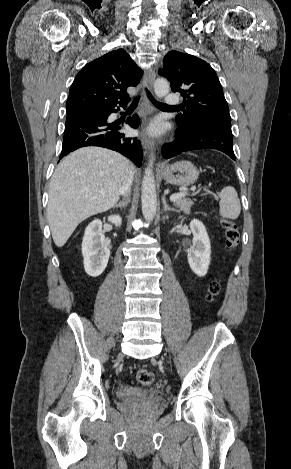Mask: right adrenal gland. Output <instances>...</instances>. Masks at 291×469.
Here are the masks:
<instances>
[{"label":"right adrenal gland","mask_w":291,"mask_h":469,"mask_svg":"<svg viewBox=\"0 0 291 469\" xmlns=\"http://www.w3.org/2000/svg\"><path fill=\"white\" fill-rule=\"evenodd\" d=\"M130 203V195H127L126 197H124V199L122 201H120L118 204H116L114 207H120V208H125L128 206V204Z\"/></svg>","instance_id":"right-adrenal-gland-1"}]
</instances>
